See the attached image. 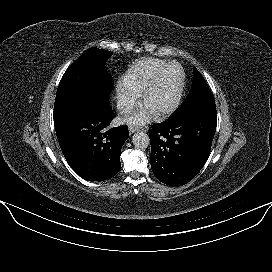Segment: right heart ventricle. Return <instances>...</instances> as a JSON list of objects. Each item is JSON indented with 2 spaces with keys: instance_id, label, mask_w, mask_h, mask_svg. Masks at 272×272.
Instances as JSON below:
<instances>
[{
  "instance_id": "e07e8e85",
  "label": "right heart ventricle",
  "mask_w": 272,
  "mask_h": 272,
  "mask_svg": "<svg viewBox=\"0 0 272 272\" xmlns=\"http://www.w3.org/2000/svg\"><path fill=\"white\" fill-rule=\"evenodd\" d=\"M167 63L166 60L156 58L140 59L126 70L121 79L122 85L140 94Z\"/></svg>"
}]
</instances>
